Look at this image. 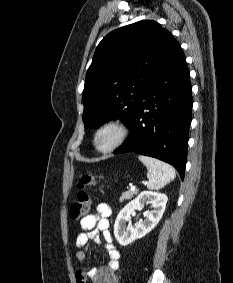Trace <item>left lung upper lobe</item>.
Masks as SVG:
<instances>
[{
	"label": "left lung upper lobe",
	"instance_id": "left-lung-upper-lobe-1",
	"mask_svg": "<svg viewBox=\"0 0 233 283\" xmlns=\"http://www.w3.org/2000/svg\"><path fill=\"white\" fill-rule=\"evenodd\" d=\"M177 43L152 20L139 21L107 34L86 73L82 93L85 128L120 118L128 124L151 74Z\"/></svg>",
	"mask_w": 233,
	"mask_h": 283
}]
</instances>
